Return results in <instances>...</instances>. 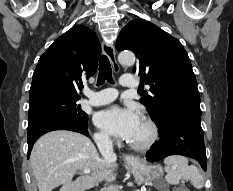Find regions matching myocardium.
I'll return each mask as SVG.
<instances>
[{
	"mask_svg": "<svg viewBox=\"0 0 233 191\" xmlns=\"http://www.w3.org/2000/svg\"><path fill=\"white\" fill-rule=\"evenodd\" d=\"M142 121H144L150 128V137L149 139L143 144H136L128 142L130 148L138 152H145L149 150L157 141L159 136V129L156 122L151 119L150 117H143Z\"/></svg>",
	"mask_w": 233,
	"mask_h": 191,
	"instance_id": "myocardium-1",
	"label": "myocardium"
}]
</instances>
